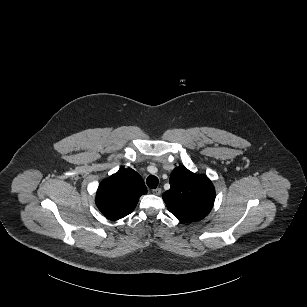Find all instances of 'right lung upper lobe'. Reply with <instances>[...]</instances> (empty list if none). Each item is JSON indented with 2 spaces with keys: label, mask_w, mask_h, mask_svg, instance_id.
<instances>
[{
  "label": "right lung upper lobe",
  "mask_w": 307,
  "mask_h": 307,
  "mask_svg": "<svg viewBox=\"0 0 307 307\" xmlns=\"http://www.w3.org/2000/svg\"><path fill=\"white\" fill-rule=\"evenodd\" d=\"M146 192L144 181L136 171L121 169L100 183L95 201L106 217L117 220L130 214Z\"/></svg>",
  "instance_id": "cb5924a9"
}]
</instances>
